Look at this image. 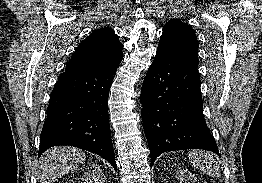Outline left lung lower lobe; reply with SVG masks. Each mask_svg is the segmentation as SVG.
I'll return each mask as SVG.
<instances>
[{
    "instance_id": "obj_1",
    "label": "left lung lower lobe",
    "mask_w": 262,
    "mask_h": 183,
    "mask_svg": "<svg viewBox=\"0 0 262 183\" xmlns=\"http://www.w3.org/2000/svg\"><path fill=\"white\" fill-rule=\"evenodd\" d=\"M197 68L156 53L140 95L151 166L164 152L204 149L219 155L203 116Z\"/></svg>"
}]
</instances>
